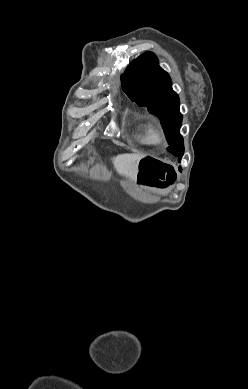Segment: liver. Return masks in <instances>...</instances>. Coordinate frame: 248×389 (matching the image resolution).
<instances>
[{"label": "liver", "instance_id": "obj_1", "mask_svg": "<svg viewBox=\"0 0 248 389\" xmlns=\"http://www.w3.org/2000/svg\"><path fill=\"white\" fill-rule=\"evenodd\" d=\"M145 155L136 153L120 154L114 157V168L120 175H125L134 180L138 173V164Z\"/></svg>", "mask_w": 248, "mask_h": 389}]
</instances>
